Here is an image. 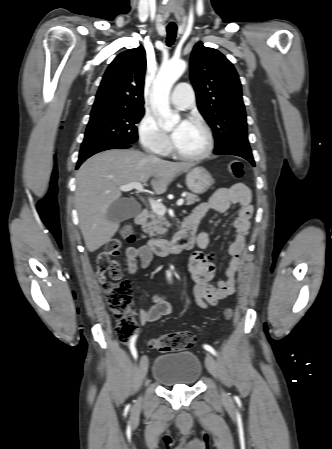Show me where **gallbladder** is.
Returning <instances> with one entry per match:
<instances>
[{
  "label": "gallbladder",
  "mask_w": 332,
  "mask_h": 449,
  "mask_svg": "<svg viewBox=\"0 0 332 449\" xmlns=\"http://www.w3.org/2000/svg\"><path fill=\"white\" fill-rule=\"evenodd\" d=\"M141 210L139 203L133 198H119L107 210V219L121 222L136 216Z\"/></svg>",
  "instance_id": "1"
}]
</instances>
